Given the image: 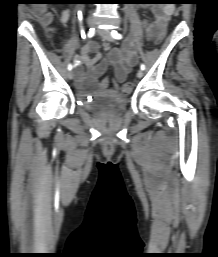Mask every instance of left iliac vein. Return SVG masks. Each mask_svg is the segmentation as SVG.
Segmentation results:
<instances>
[{"mask_svg":"<svg viewBox=\"0 0 218 257\" xmlns=\"http://www.w3.org/2000/svg\"><path fill=\"white\" fill-rule=\"evenodd\" d=\"M98 34L100 35V37L103 39V40H106V41H112L113 38H112V35L110 34V32L108 30H105V29H98L97 30ZM143 76V71L140 69L138 72H137V77L138 78H141Z\"/></svg>","mask_w":218,"mask_h":257,"instance_id":"4c4485c4","label":"left iliac vein"}]
</instances>
